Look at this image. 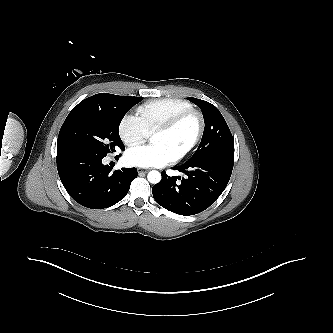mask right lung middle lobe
<instances>
[{
	"label": "right lung middle lobe",
	"mask_w": 333,
	"mask_h": 333,
	"mask_svg": "<svg viewBox=\"0 0 333 333\" xmlns=\"http://www.w3.org/2000/svg\"><path fill=\"white\" fill-rule=\"evenodd\" d=\"M141 97L106 94L102 103L81 101L68 114L58 136L57 150H83L105 157L115 147L124 149L119 125Z\"/></svg>",
	"instance_id": "1"
}]
</instances>
